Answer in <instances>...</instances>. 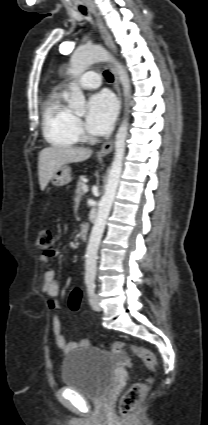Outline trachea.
Wrapping results in <instances>:
<instances>
[{
	"label": "trachea",
	"mask_w": 208,
	"mask_h": 425,
	"mask_svg": "<svg viewBox=\"0 0 208 425\" xmlns=\"http://www.w3.org/2000/svg\"><path fill=\"white\" fill-rule=\"evenodd\" d=\"M80 11L84 14V15H87V12H86V9H80ZM104 76L106 77V79L109 81V82H113V75L109 72V71H105L104 72Z\"/></svg>",
	"instance_id": "1"
}]
</instances>
